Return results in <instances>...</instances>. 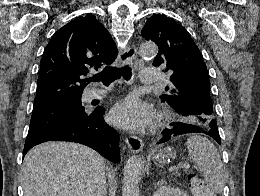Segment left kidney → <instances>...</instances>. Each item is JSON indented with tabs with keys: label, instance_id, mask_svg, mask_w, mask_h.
I'll return each instance as SVG.
<instances>
[{
	"label": "left kidney",
	"instance_id": "left-kidney-1",
	"mask_svg": "<svg viewBox=\"0 0 260 196\" xmlns=\"http://www.w3.org/2000/svg\"><path fill=\"white\" fill-rule=\"evenodd\" d=\"M153 196H188L183 190L179 188H172V186H161L159 190L154 192Z\"/></svg>",
	"mask_w": 260,
	"mask_h": 196
}]
</instances>
